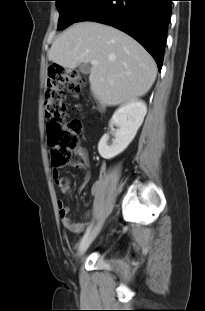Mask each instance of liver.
I'll list each match as a JSON object with an SVG mask.
<instances>
[{"instance_id":"liver-1","label":"liver","mask_w":205,"mask_h":311,"mask_svg":"<svg viewBox=\"0 0 205 311\" xmlns=\"http://www.w3.org/2000/svg\"><path fill=\"white\" fill-rule=\"evenodd\" d=\"M49 60L65 68L97 60L90 69L91 90L108 106L145 95L153 85L157 67L152 56L126 33L101 23H76L59 35Z\"/></svg>"}]
</instances>
